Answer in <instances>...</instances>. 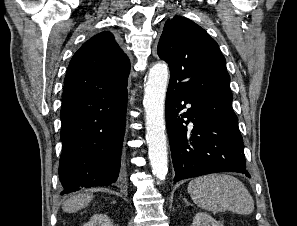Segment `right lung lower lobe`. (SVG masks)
<instances>
[{
  "mask_svg": "<svg viewBox=\"0 0 297 226\" xmlns=\"http://www.w3.org/2000/svg\"><path fill=\"white\" fill-rule=\"evenodd\" d=\"M126 104V87L90 91L62 100L61 195L121 183Z\"/></svg>",
  "mask_w": 297,
  "mask_h": 226,
  "instance_id": "right-lung-lower-lobe-1",
  "label": "right lung lower lobe"
}]
</instances>
